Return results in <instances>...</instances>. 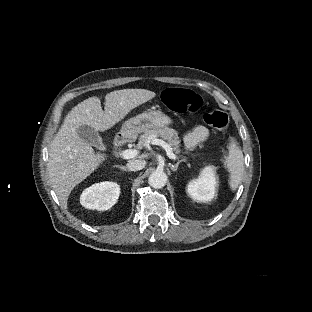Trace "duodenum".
I'll return each instance as SVG.
<instances>
[{
  "label": "duodenum",
  "mask_w": 312,
  "mask_h": 312,
  "mask_svg": "<svg viewBox=\"0 0 312 312\" xmlns=\"http://www.w3.org/2000/svg\"><path fill=\"white\" fill-rule=\"evenodd\" d=\"M133 138L134 135L130 131H123L117 135L115 142L119 148H123Z\"/></svg>",
  "instance_id": "obj_1"
}]
</instances>
